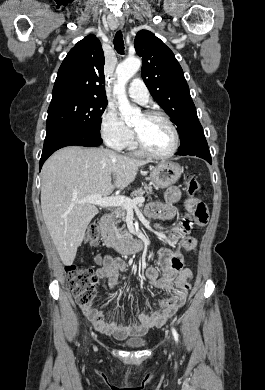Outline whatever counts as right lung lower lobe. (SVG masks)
Masks as SVG:
<instances>
[{
    "label": "right lung lower lobe",
    "instance_id": "1",
    "mask_svg": "<svg viewBox=\"0 0 265 390\" xmlns=\"http://www.w3.org/2000/svg\"><path fill=\"white\" fill-rule=\"evenodd\" d=\"M103 140L99 135H94L83 129L69 125H51L46 127V138L44 141L39 170L46 159L56 150L71 146H99Z\"/></svg>",
    "mask_w": 265,
    "mask_h": 390
}]
</instances>
